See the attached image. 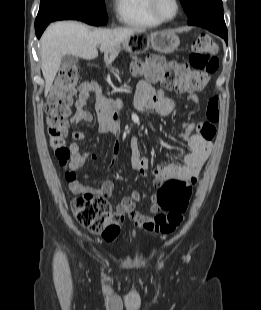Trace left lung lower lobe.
<instances>
[{
    "instance_id": "1",
    "label": "left lung lower lobe",
    "mask_w": 261,
    "mask_h": 310,
    "mask_svg": "<svg viewBox=\"0 0 261 310\" xmlns=\"http://www.w3.org/2000/svg\"><path fill=\"white\" fill-rule=\"evenodd\" d=\"M191 25H197V26H201L203 28H206L207 30L221 36L222 38H224L225 42L227 43L228 41V36H227V28L225 25H221L218 24L214 21H203V22H197L195 24H191Z\"/></svg>"
}]
</instances>
